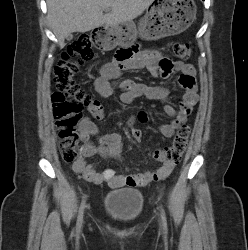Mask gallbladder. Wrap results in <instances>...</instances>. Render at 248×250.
<instances>
[{
    "mask_svg": "<svg viewBox=\"0 0 248 250\" xmlns=\"http://www.w3.org/2000/svg\"><path fill=\"white\" fill-rule=\"evenodd\" d=\"M73 38V35L72 34H69V35H67L66 36V39L69 41V40H71Z\"/></svg>",
    "mask_w": 248,
    "mask_h": 250,
    "instance_id": "gallbladder-1",
    "label": "gallbladder"
}]
</instances>
